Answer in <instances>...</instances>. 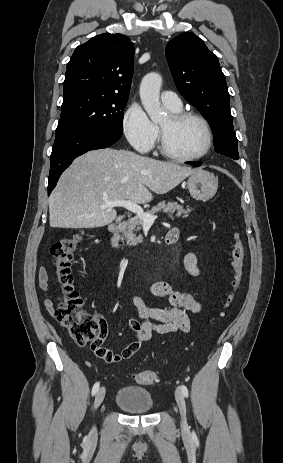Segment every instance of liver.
I'll list each match as a JSON object with an SVG mask.
<instances>
[{
	"label": "liver",
	"mask_w": 283,
	"mask_h": 463,
	"mask_svg": "<svg viewBox=\"0 0 283 463\" xmlns=\"http://www.w3.org/2000/svg\"><path fill=\"white\" fill-rule=\"evenodd\" d=\"M199 170L127 150L89 151L64 171L50 195V226H106L117 216L114 207H104L106 200L144 204L153 199L151 192L165 194Z\"/></svg>",
	"instance_id": "6515ba94"
}]
</instances>
